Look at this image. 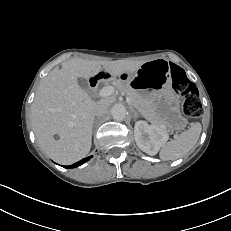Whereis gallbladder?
<instances>
[{
    "instance_id": "1",
    "label": "gallbladder",
    "mask_w": 231,
    "mask_h": 231,
    "mask_svg": "<svg viewBox=\"0 0 231 231\" xmlns=\"http://www.w3.org/2000/svg\"><path fill=\"white\" fill-rule=\"evenodd\" d=\"M78 84L83 90H88L89 89V82L87 79L84 78H79L78 79Z\"/></svg>"
}]
</instances>
